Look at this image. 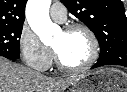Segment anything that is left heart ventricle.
Segmentation results:
<instances>
[{
  "instance_id": "obj_1",
  "label": "left heart ventricle",
  "mask_w": 127,
  "mask_h": 92,
  "mask_svg": "<svg viewBox=\"0 0 127 92\" xmlns=\"http://www.w3.org/2000/svg\"><path fill=\"white\" fill-rule=\"evenodd\" d=\"M62 61L71 67L84 64L91 54V43L83 31L65 33L61 31L52 43Z\"/></svg>"
}]
</instances>
